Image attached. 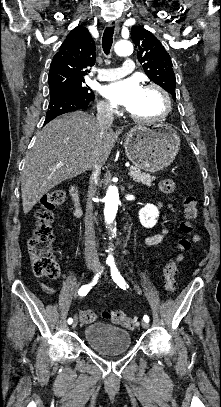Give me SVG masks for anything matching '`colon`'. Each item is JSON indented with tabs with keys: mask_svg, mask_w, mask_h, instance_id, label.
<instances>
[{
	"mask_svg": "<svg viewBox=\"0 0 221 407\" xmlns=\"http://www.w3.org/2000/svg\"><path fill=\"white\" fill-rule=\"evenodd\" d=\"M160 189L164 193H172L175 189V183L172 179H163L160 181ZM65 199V191L56 188L44 195L36 207L35 224L28 242V251L33 271L38 277L54 278L58 276L57 265L52 256V246L55 240L53 210L62 206ZM197 212L196 197L187 196L183 202V218L179 224L182 236L177 241V253L169 259L163 268L164 287L167 292H173L177 287L176 274L180 261L179 255L190 250V236L193 233V221ZM101 316L109 318L114 324L126 329L133 330L138 327L137 319L128 316L121 310L102 312ZM97 317V312L89 309L80 310L78 313V318L83 324L93 323Z\"/></svg>",
	"mask_w": 221,
	"mask_h": 407,
	"instance_id": "5ec220e1",
	"label": "colon"
}]
</instances>
